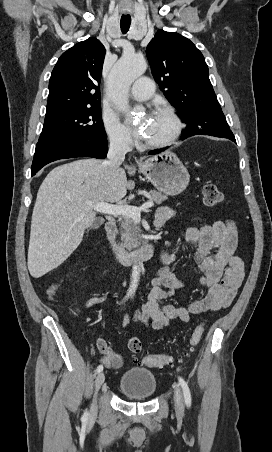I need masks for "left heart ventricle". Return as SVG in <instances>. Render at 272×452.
Listing matches in <instances>:
<instances>
[{
	"mask_svg": "<svg viewBox=\"0 0 272 452\" xmlns=\"http://www.w3.org/2000/svg\"><path fill=\"white\" fill-rule=\"evenodd\" d=\"M172 130V122L162 113H155L147 124L145 141L154 142L166 138Z\"/></svg>",
	"mask_w": 272,
	"mask_h": 452,
	"instance_id": "1",
	"label": "left heart ventricle"
}]
</instances>
